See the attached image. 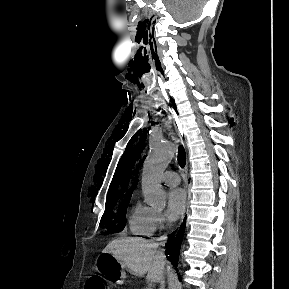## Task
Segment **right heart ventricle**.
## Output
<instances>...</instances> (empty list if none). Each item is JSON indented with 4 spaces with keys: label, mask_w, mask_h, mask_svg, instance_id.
<instances>
[{
    "label": "right heart ventricle",
    "mask_w": 289,
    "mask_h": 289,
    "mask_svg": "<svg viewBox=\"0 0 289 289\" xmlns=\"http://www.w3.org/2000/svg\"><path fill=\"white\" fill-rule=\"evenodd\" d=\"M155 217V210L137 200L128 214L129 228L132 234L151 236L156 230Z\"/></svg>",
    "instance_id": "right-heart-ventricle-1"
}]
</instances>
